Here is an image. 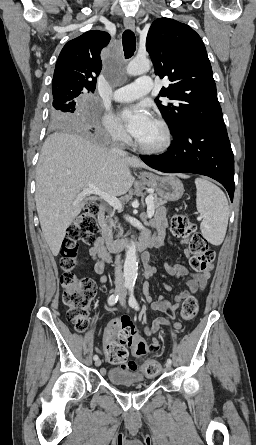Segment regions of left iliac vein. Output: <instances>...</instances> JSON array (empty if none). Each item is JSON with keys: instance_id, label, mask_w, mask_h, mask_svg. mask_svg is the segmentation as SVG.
Listing matches in <instances>:
<instances>
[{"instance_id": "4c4485c4", "label": "left iliac vein", "mask_w": 256, "mask_h": 445, "mask_svg": "<svg viewBox=\"0 0 256 445\" xmlns=\"http://www.w3.org/2000/svg\"><path fill=\"white\" fill-rule=\"evenodd\" d=\"M125 299H126V292H121L119 300H120V303H121L122 306H125ZM165 367H166L167 370H170L171 369V364L166 363Z\"/></svg>"}]
</instances>
